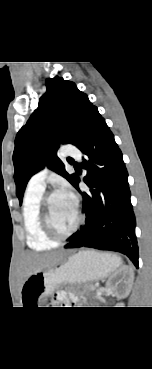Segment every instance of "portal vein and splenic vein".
Returning <instances> with one entry per match:
<instances>
[{
	"mask_svg": "<svg viewBox=\"0 0 152 369\" xmlns=\"http://www.w3.org/2000/svg\"><path fill=\"white\" fill-rule=\"evenodd\" d=\"M96 289V286H93V290H95Z\"/></svg>",
	"mask_w": 152,
	"mask_h": 369,
	"instance_id": "1",
	"label": "portal vein and splenic vein"
}]
</instances>
